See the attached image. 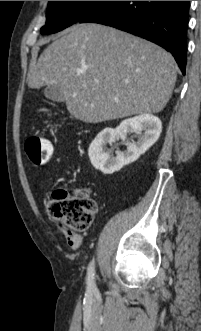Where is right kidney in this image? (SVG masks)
Wrapping results in <instances>:
<instances>
[{
	"mask_svg": "<svg viewBox=\"0 0 201 331\" xmlns=\"http://www.w3.org/2000/svg\"><path fill=\"white\" fill-rule=\"evenodd\" d=\"M161 131L160 119L152 114L126 119L115 129L105 128L90 144L88 155L91 164L104 174H113L144 154L158 140ZM128 132H137L139 139L127 141L126 150L116 151L115 156L110 155L106 145H112L118 135H126Z\"/></svg>",
	"mask_w": 201,
	"mask_h": 331,
	"instance_id": "right-kidney-1",
	"label": "right kidney"
}]
</instances>
